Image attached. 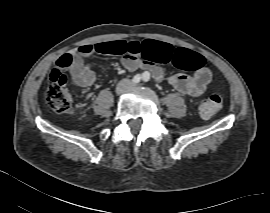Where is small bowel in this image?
<instances>
[{
	"mask_svg": "<svg viewBox=\"0 0 270 213\" xmlns=\"http://www.w3.org/2000/svg\"><path fill=\"white\" fill-rule=\"evenodd\" d=\"M103 44H82L72 52V61L69 65L71 81L87 91V98L92 95L91 88L95 84L96 77L91 66L87 65L85 61L97 54H102L101 47ZM141 45L149 48V59L139 60L132 56H125L122 58V64L130 71H135L140 67L148 68L156 81H160L164 75L163 69L158 63H168L177 55L186 56L189 53L187 49L174 48L170 44L155 40L143 42ZM168 82L183 94L199 96L207 90L211 82V72L202 68L192 76L176 73L168 77Z\"/></svg>",
	"mask_w": 270,
	"mask_h": 213,
	"instance_id": "small-bowel-1",
	"label": "small bowel"
}]
</instances>
